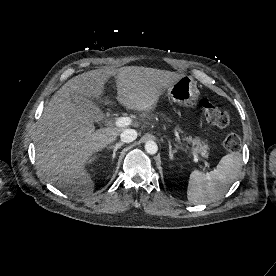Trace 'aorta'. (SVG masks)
<instances>
[{"label": "aorta", "mask_w": 276, "mask_h": 276, "mask_svg": "<svg viewBox=\"0 0 276 276\" xmlns=\"http://www.w3.org/2000/svg\"><path fill=\"white\" fill-rule=\"evenodd\" d=\"M145 150L148 154H156L158 146L154 141H148L145 143Z\"/></svg>", "instance_id": "762f6f07"}]
</instances>
